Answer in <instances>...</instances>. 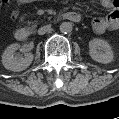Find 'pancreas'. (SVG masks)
I'll use <instances>...</instances> for the list:
<instances>
[{"label":"pancreas","instance_id":"1","mask_svg":"<svg viewBox=\"0 0 119 119\" xmlns=\"http://www.w3.org/2000/svg\"><path fill=\"white\" fill-rule=\"evenodd\" d=\"M35 28H36V24L32 25L30 29L33 30Z\"/></svg>","mask_w":119,"mask_h":119}]
</instances>
